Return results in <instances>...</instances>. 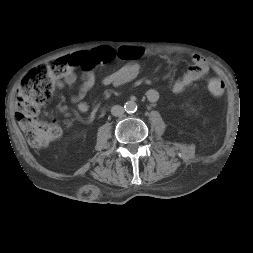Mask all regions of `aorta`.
<instances>
[{"instance_id": "obj_1", "label": "aorta", "mask_w": 253, "mask_h": 253, "mask_svg": "<svg viewBox=\"0 0 253 253\" xmlns=\"http://www.w3.org/2000/svg\"><path fill=\"white\" fill-rule=\"evenodd\" d=\"M124 108L127 113H134L137 110V104L134 101H128Z\"/></svg>"}]
</instances>
